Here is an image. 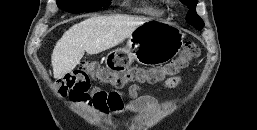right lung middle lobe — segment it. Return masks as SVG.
<instances>
[{
    "instance_id": "dd1d6c3e",
    "label": "right lung middle lobe",
    "mask_w": 257,
    "mask_h": 130,
    "mask_svg": "<svg viewBox=\"0 0 257 130\" xmlns=\"http://www.w3.org/2000/svg\"><path fill=\"white\" fill-rule=\"evenodd\" d=\"M106 0H57V5L69 12L80 13L99 9Z\"/></svg>"
}]
</instances>
